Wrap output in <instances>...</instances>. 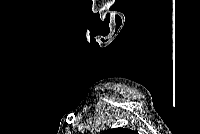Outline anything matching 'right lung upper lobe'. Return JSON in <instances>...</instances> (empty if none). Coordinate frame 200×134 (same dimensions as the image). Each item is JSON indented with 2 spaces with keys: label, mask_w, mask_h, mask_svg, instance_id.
I'll return each instance as SVG.
<instances>
[{
  "label": "right lung upper lobe",
  "mask_w": 200,
  "mask_h": 134,
  "mask_svg": "<svg viewBox=\"0 0 200 134\" xmlns=\"http://www.w3.org/2000/svg\"><path fill=\"white\" fill-rule=\"evenodd\" d=\"M104 133H107V134H127V133H131V130L123 129V128H115V129L107 130Z\"/></svg>",
  "instance_id": "right-lung-upper-lobe-1"
}]
</instances>
